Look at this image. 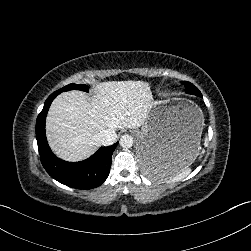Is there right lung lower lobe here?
Here are the masks:
<instances>
[{
    "label": "right lung lower lobe",
    "mask_w": 251,
    "mask_h": 251,
    "mask_svg": "<svg viewBox=\"0 0 251 251\" xmlns=\"http://www.w3.org/2000/svg\"><path fill=\"white\" fill-rule=\"evenodd\" d=\"M58 95L52 93L45 101L36 121V138L43 167L58 182L76 189H93L100 186L108 177L113 151L117 143L101 147L90 158L76 163L57 158L48 146L45 135V119L53 99Z\"/></svg>",
    "instance_id": "1"
}]
</instances>
